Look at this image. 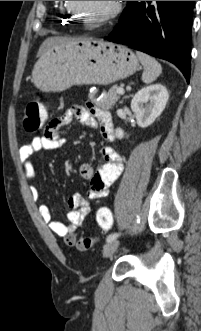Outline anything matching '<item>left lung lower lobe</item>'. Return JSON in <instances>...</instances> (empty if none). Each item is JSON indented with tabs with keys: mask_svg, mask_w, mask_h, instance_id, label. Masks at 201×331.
<instances>
[{
	"mask_svg": "<svg viewBox=\"0 0 201 331\" xmlns=\"http://www.w3.org/2000/svg\"><path fill=\"white\" fill-rule=\"evenodd\" d=\"M195 1H128L105 38L175 64L190 80L191 27Z\"/></svg>",
	"mask_w": 201,
	"mask_h": 331,
	"instance_id": "left-lung-lower-lobe-1",
	"label": "left lung lower lobe"
}]
</instances>
